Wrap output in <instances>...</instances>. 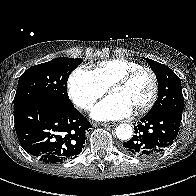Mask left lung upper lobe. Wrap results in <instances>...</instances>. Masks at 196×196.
<instances>
[{
	"instance_id": "5c2ea615",
	"label": "left lung upper lobe",
	"mask_w": 196,
	"mask_h": 196,
	"mask_svg": "<svg viewBox=\"0 0 196 196\" xmlns=\"http://www.w3.org/2000/svg\"><path fill=\"white\" fill-rule=\"evenodd\" d=\"M146 60L155 73L159 86L158 98L149 113L167 110L182 115L184 97L180 79L166 65L151 59Z\"/></svg>"
}]
</instances>
